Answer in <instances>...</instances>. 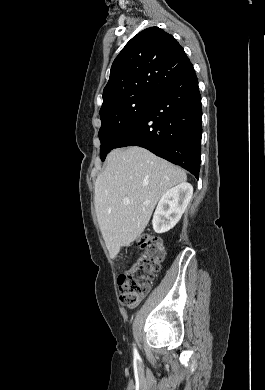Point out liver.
Wrapping results in <instances>:
<instances>
[{
	"label": "liver",
	"mask_w": 265,
	"mask_h": 390,
	"mask_svg": "<svg viewBox=\"0 0 265 390\" xmlns=\"http://www.w3.org/2000/svg\"><path fill=\"white\" fill-rule=\"evenodd\" d=\"M184 170L145 148L114 149L95 182V210L107 249L115 257L146 228L158 200L184 183ZM130 203L124 204L123 199Z\"/></svg>",
	"instance_id": "6515ba94"
}]
</instances>
